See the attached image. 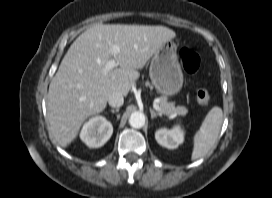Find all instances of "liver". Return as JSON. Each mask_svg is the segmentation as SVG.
<instances>
[{
  "label": "liver",
  "instance_id": "liver-1",
  "mask_svg": "<svg viewBox=\"0 0 272 198\" xmlns=\"http://www.w3.org/2000/svg\"><path fill=\"white\" fill-rule=\"evenodd\" d=\"M176 33L164 26L96 24L72 43L49 85L47 117L57 143L67 147L83 122L102 112L113 93L127 96L153 54ZM119 46L114 54L112 48ZM115 59L119 68L105 71Z\"/></svg>",
  "mask_w": 272,
  "mask_h": 198
}]
</instances>
